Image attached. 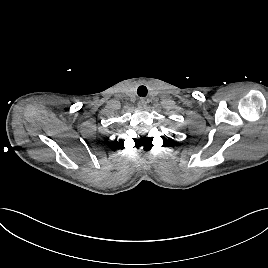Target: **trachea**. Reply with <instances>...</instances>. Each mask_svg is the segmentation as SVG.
Instances as JSON below:
<instances>
[{"label": "trachea", "instance_id": "trachea-1", "mask_svg": "<svg viewBox=\"0 0 268 268\" xmlns=\"http://www.w3.org/2000/svg\"><path fill=\"white\" fill-rule=\"evenodd\" d=\"M147 88L145 86H139L138 90H137V93L140 97H146L147 95Z\"/></svg>", "mask_w": 268, "mask_h": 268}]
</instances>
